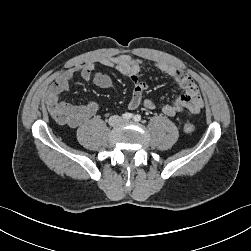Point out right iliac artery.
Segmentation results:
<instances>
[{"mask_svg": "<svg viewBox=\"0 0 251 251\" xmlns=\"http://www.w3.org/2000/svg\"><path fill=\"white\" fill-rule=\"evenodd\" d=\"M133 117V114L132 113H124L122 115V118L125 119V120H129Z\"/></svg>", "mask_w": 251, "mask_h": 251, "instance_id": "82829eb1", "label": "right iliac artery"}]
</instances>
